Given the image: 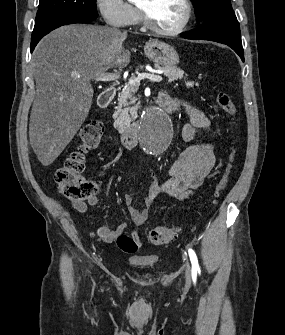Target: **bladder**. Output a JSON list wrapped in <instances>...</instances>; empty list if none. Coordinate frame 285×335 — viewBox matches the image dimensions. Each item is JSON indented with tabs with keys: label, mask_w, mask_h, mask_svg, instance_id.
I'll use <instances>...</instances> for the list:
<instances>
[{
	"label": "bladder",
	"mask_w": 285,
	"mask_h": 335,
	"mask_svg": "<svg viewBox=\"0 0 285 335\" xmlns=\"http://www.w3.org/2000/svg\"><path fill=\"white\" fill-rule=\"evenodd\" d=\"M127 265L152 267V265H158V258H127Z\"/></svg>",
	"instance_id": "1"
}]
</instances>
